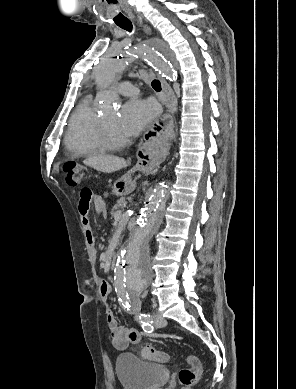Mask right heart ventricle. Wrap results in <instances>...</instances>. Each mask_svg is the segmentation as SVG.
Masks as SVG:
<instances>
[{
  "label": "right heart ventricle",
  "mask_w": 296,
  "mask_h": 389,
  "mask_svg": "<svg viewBox=\"0 0 296 389\" xmlns=\"http://www.w3.org/2000/svg\"><path fill=\"white\" fill-rule=\"evenodd\" d=\"M99 116L85 99L74 111L65 135V146L74 156L87 157L104 152L98 137Z\"/></svg>",
  "instance_id": "right-heart-ventricle-1"
}]
</instances>
